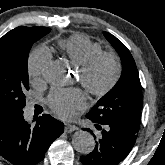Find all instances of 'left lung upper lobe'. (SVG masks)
<instances>
[{"label":"left lung upper lobe","instance_id":"1","mask_svg":"<svg viewBox=\"0 0 165 165\" xmlns=\"http://www.w3.org/2000/svg\"><path fill=\"white\" fill-rule=\"evenodd\" d=\"M104 36L121 58L122 74L116 85L93 106L86 117L138 131L142 91L135 61L130 51L115 36L107 32H104Z\"/></svg>","mask_w":165,"mask_h":165}]
</instances>
